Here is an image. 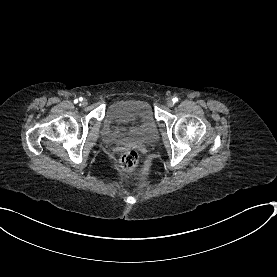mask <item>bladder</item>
Segmentation results:
<instances>
[{"instance_id": "bladder-1", "label": "bladder", "mask_w": 277, "mask_h": 277, "mask_svg": "<svg viewBox=\"0 0 277 277\" xmlns=\"http://www.w3.org/2000/svg\"><path fill=\"white\" fill-rule=\"evenodd\" d=\"M103 122L120 142L148 143L158 130L151 103L142 98L122 97L113 100L105 112ZM125 123H136V126L127 132H120L118 127Z\"/></svg>"}]
</instances>
